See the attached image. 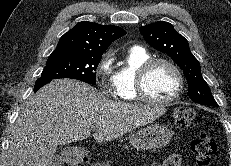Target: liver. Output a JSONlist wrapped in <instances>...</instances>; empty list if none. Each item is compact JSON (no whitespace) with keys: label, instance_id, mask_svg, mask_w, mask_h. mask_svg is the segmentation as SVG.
<instances>
[{"label":"liver","instance_id":"obj_1","mask_svg":"<svg viewBox=\"0 0 231 166\" xmlns=\"http://www.w3.org/2000/svg\"><path fill=\"white\" fill-rule=\"evenodd\" d=\"M166 112L160 106L116 102L80 81L57 79L22 108L11 132L9 166H48L58 145L113 141Z\"/></svg>","mask_w":231,"mask_h":166}]
</instances>
